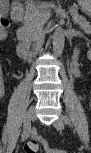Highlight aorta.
<instances>
[{"label":"aorta","instance_id":"obj_1","mask_svg":"<svg viewBox=\"0 0 91 153\" xmlns=\"http://www.w3.org/2000/svg\"><path fill=\"white\" fill-rule=\"evenodd\" d=\"M64 33L62 28L58 27L53 34V53L55 56H61L64 49Z\"/></svg>","mask_w":91,"mask_h":153}]
</instances>
